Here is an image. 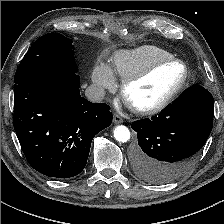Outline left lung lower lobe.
<instances>
[{"label":"left lung lower lobe","mask_w":224,"mask_h":224,"mask_svg":"<svg viewBox=\"0 0 224 224\" xmlns=\"http://www.w3.org/2000/svg\"><path fill=\"white\" fill-rule=\"evenodd\" d=\"M213 114V96L193 86L157 116L133 122L139 145L133 154L135 174L154 184L185 174L211 133Z\"/></svg>","instance_id":"1"}]
</instances>
